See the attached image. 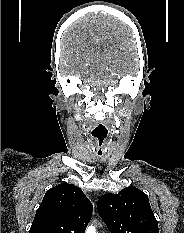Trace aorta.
Listing matches in <instances>:
<instances>
[{
    "instance_id": "762f6f07",
    "label": "aorta",
    "mask_w": 184,
    "mask_h": 233,
    "mask_svg": "<svg viewBox=\"0 0 184 233\" xmlns=\"http://www.w3.org/2000/svg\"><path fill=\"white\" fill-rule=\"evenodd\" d=\"M86 233H96L95 227H94V226H89V227L87 228Z\"/></svg>"
}]
</instances>
